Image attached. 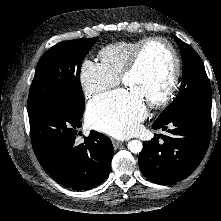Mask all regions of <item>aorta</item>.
Returning <instances> with one entry per match:
<instances>
[{
  "label": "aorta",
  "mask_w": 221,
  "mask_h": 221,
  "mask_svg": "<svg viewBox=\"0 0 221 221\" xmlns=\"http://www.w3.org/2000/svg\"><path fill=\"white\" fill-rule=\"evenodd\" d=\"M128 150L132 153H140L142 151L143 145L140 140H131L127 144Z\"/></svg>",
  "instance_id": "aorta-1"
}]
</instances>
